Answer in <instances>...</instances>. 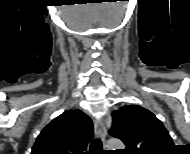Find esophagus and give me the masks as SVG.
Segmentation results:
<instances>
[{"instance_id": "1", "label": "esophagus", "mask_w": 190, "mask_h": 154, "mask_svg": "<svg viewBox=\"0 0 190 154\" xmlns=\"http://www.w3.org/2000/svg\"><path fill=\"white\" fill-rule=\"evenodd\" d=\"M94 131L97 138H100L103 142L106 139V127L102 120H95Z\"/></svg>"}]
</instances>
